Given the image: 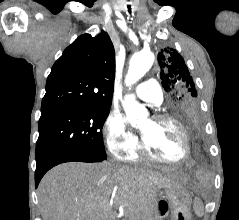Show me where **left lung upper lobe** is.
I'll return each instance as SVG.
<instances>
[{"label":"left lung upper lobe","instance_id":"obj_1","mask_svg":"<svg viewBox=\"0 0 239 220\" xmlns=\"http://www.w3.org/2000/svg\"><path fill=\"white\" fill-rule=\"evenodd\" d=\"M158 63L162 85L169 95L171 113L177 118L191 112L199 114L197 90L183 57L176 49L165 48L158 54Z\"/></svg>","mask_w":239,"mask_h":220}]
</instances>
